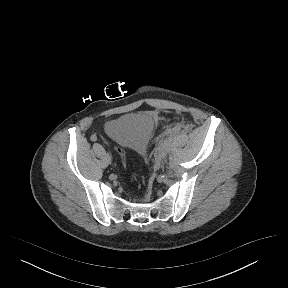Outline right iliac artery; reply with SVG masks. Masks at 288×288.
I'll list each match as a JSON object with an SVG mask.
<instances>
[{
    "mask_svg": "<svg viewBox=\"0 0 288 288\" xmlns=\"http://www.w3.org/2000/svg\"><path fill=\"white\" fill-rule=\"evenodd\" d=\"M90 139H91V141H96V140H97V136H96V135H92V136L90 137Z\"/></svg>",
    "mask_w": 288,
    "mask_h": 288,
    "instance_id": "82829eb1",
    "label": "right iliac artery"
}]
</instances>
